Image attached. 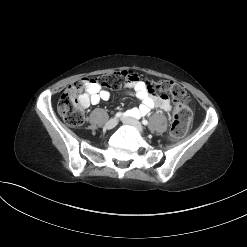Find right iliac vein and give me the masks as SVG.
<instances>
[{
  "label": "right iliac vein",
  "mask_w": 247,
  "mask_h": 247,
  "mask_svg": "<svg viewBox=\"0 0 247 247\" xmlns=\"http://www.w3.org/2000/svg\"><path fill=\"white\" fill-rule=\"evenodd\" d=\"M117 124H118V119L112 118L105 124V127L107 129H113Z\"/></svg>",
  "instance_id": "right-iliac-vein-1"
}]
</instances>
